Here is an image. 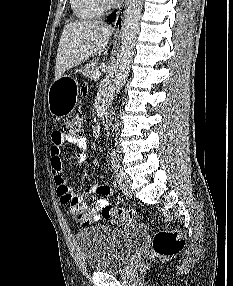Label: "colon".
Returning <instances> with one entry per match:
<instances>
[{
  "instance_id": "1",
  "label": "colon",
  "mask_w": 233,
  "mask_h": 286,
  "mask_svg": "<svg viewBox=\"0 0 233 286\" xmlns=\"http://www.w3.org/2000/svg\"><path fill=\"white\" fill-rule=\"evenodd\" d=\"M84 119L81 114H75L65 118L60 129L57 131L61 137L82 136ZM77 200L70 202V207L76 208ZM102 217L109 223L119 225L125 223H133L137 220V213L134 210H113L110 206L103 207L99 210ZM92 210L87 209L78 213L80 218L89 222ZM185 243L184 234L179 230H162L159 231L153 241L154 255L157 257H167L177 253Z\"/></svg>"
}]
</instances>
